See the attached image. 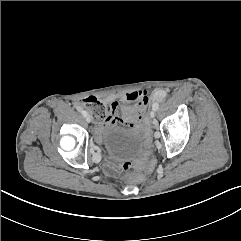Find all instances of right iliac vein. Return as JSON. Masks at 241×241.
Segmentation results:
<instances>
[{
	"label": "right iliac vein",
	"mask_w": 241,
	"mask_h": 241,
	"mask_svg": "<svg viewBox=\"0 0 241 241\" xmlns=\"http://www.w3.org/2000/svg\"><path fill=\"white\" fill-rule=\"evenodd\" d=\"M86 121H87L88 123H90L91 119H90L89 116H86ZM94 157L97 158V157H98V154H95Z\"/></svg>",
	"instance_id": "right-iliac-vein-1"
}]
</instances>
